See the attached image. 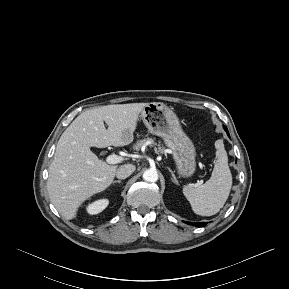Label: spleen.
I'll use <instances>...</instances> for the list:
<instances>
[{
	"label": "spleen",
	"instance_id": "obj_1",
	"mask_svg": "<svg viewBox=\"0 0 289 289\" xmlns=\"http://www.w3.org/2000/svg\"><path fill=\"white\" fill-rule=\"evenodd\" d=\"M216 162L210 179L203 185H186L183 194L194 213L212 216L220 211L228 199L232 187V175L228 157L221 140L216 142Z\"/></svg>",
	"mask_w": 289,
	"mask_h": 289
}]
</instances>
